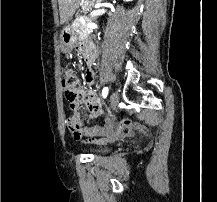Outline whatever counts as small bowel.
<instances>
[{
  "label": "small bowel",
  "mask_w": 217,
  "mask_h": 202,
  "mask_svg": "<svg viewBox=\"0 0 217 202\" xmlns=\"http://www.w3.org/2000/svg\"><path fill=\"white\" fill-rule=\"evenodd\" d=\"M84 45L87 46L90 56L94 61L96 59L95 46L90 42H87ZM85 81L89 85L94 83L95 72L92 68H89L86 71ZM82 102L85 103L90 119H96L104 113L103 103L101 102L96 92L89 90L83 93V99L80 103ZM70 116H76L77 118L76 121H73L77 126V131L73 133V137L77 141H80L83 135H86L89 138V141L93 143H107V142L115 141L119 136L120 131H81V126H87V125L81 121L80 113L77 110H74Z\"/></svg>",
  "instance_id": "small-bowel-1"
}]
</instances>
